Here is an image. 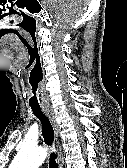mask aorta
<instances>
[{
	"label": "aorta",
	"mask_w": 127,
	"mask_h": 168,
	"mask_svg": "<svg viewBox=\"0 0 127 168\" xmlns=\"http://www.w3.org/2000/svg\"><path fill=\"white\" fill-rule=\"evenodd\" d=\"M46 156L47 152L42 147L23 146L9 168H38Z\"/></svg>",
	"instance_id": "762f6f07"
}]
</instances>
